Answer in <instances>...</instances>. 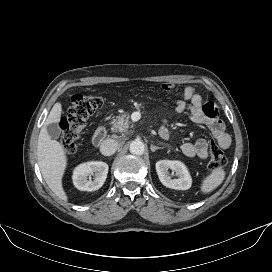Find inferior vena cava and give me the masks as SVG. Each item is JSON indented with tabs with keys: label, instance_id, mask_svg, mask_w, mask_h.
Returning a JSON list of instances; mask_svg holds the SVG:
<instances>
[{
	"label": "inferior vena cava",
	"instance_id": "inferior-vena-cava-1",
	"mask_svg": "<svg viewBox=\"0 0 272 272\" xmlns=\"http://www.w3.org/2000/svg\"><path fill=\"white\" fill-rule=\"evenodd\" d=\"M118 147V142L113 139H106L100 145V152L104 156H111L113 155Z\"/></svg>",
	"mask_w": 272,
	"mask_h": 272
}]
</instances>
